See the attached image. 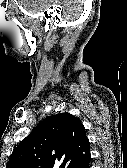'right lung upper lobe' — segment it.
I'll list each match as a JSON object with an SVG mask.
<instances>
[{
	"instance_id": "right-lung-upper-lobe-1",
	"label": "right lung upper lobe",
	"mask_w": 127,
	"mask_h": 168,
	"mask_svg": "<svg viewBox=\"0 0 127 168\" xmlns=\"http://www.w3.org/2000/svg\"><path fill=\"white\" fill-rule=\"evenodd\" d=\"M90 157L79 118L61 113L41 121L13 150L6 168H76Z\"/></svg>"
}]
</instances>
